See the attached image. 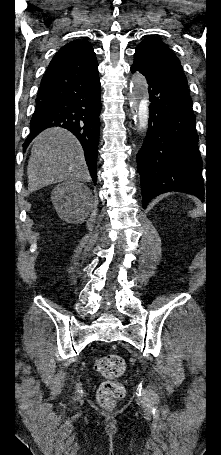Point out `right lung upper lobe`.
<instances>
[{"mask_svg": "<svg viewBox=\"0 0 221 455\" xmlns=\"http://www.w3.org/2000/svg\"><path fill=\"white\" fill-rule=\"evenodd\" d=\"M93 48L90 43L83 40H75L72 41L65 46H63L58 53L54 56L52 61L50 62L48 69L52 68L53 66L57 65L60 62H63L77 54L92 51Z\"/></svg>", "mask_w": 221, "mask_h": 455, "instance_id": "right-lung-upper-lobe-1", "label": "right lung upper lobe"}]
</instances>
